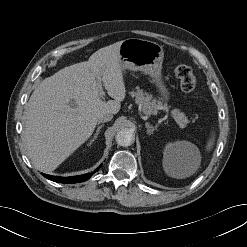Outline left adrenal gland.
<instances>
[{"label":"left adrenal gland","instance_id":"1","mask_svg":"<svg viewBox=\"0 0 247 247\" xmlns=\"http://www.w3.org/2000/svg\"><path fill=\"white\" fill-rule=\"evenodd\" d=\"M145 126H146V128H147V133H148L149 135L153 134V132H154L155 130H157V127H156V126L154 127V126L150 125L148 122L145 123Z\"/></svg>","mask_w":247,"mask_h":247}]
</instances>
